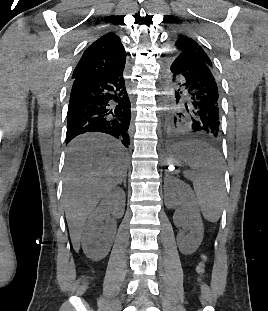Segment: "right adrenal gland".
<instances>
[{
    "label": "right adrenal gland",
    "instance_id": "2a0ac1e0",
    "mask_svg": "<svg viewBox=\"0 0 268 311\" xmlns=\"http://www.w3.org/2000/svg\"><path fill=\"white\" fill-rule=\"evenodd\" d=\"M122 182L124 184V187H126V177L119 184H121Z\"/></svg>",
    "mask_w": 268,
    "mask_h": 311
}]
</instances>
